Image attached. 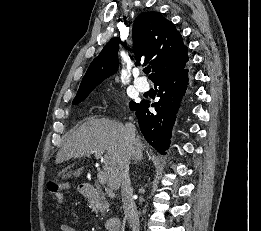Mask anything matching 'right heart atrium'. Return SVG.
<instances>
[{"label":"right heart atrium","instance_id":"1","mask_svg":"<svg viewBox=\"0 0 261 231\" xmlns=\"http://www.w3.org/2000/svg\"><path fill=\"white\" fill-rule=\"evenodd\" d=\"M103 105L105 106V108H114L116 105V101L113 98H106L103 101Z\"/></svg>","mask_w":261,"mask_h":231}]
</instances>
